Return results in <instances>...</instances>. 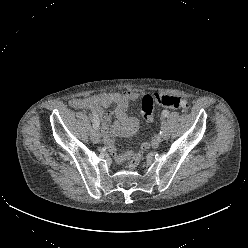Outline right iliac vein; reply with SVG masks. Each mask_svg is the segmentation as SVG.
Here are the masks:
<instances>
[{
	"instance_id": "obj_1",
	"label": "right iliac vein",
	"mask_w": 248,
	"mask_h": 248,
	"mask_svg": "<svg viewBox=\"0 0 248 248\" xmlns=\"http://www.w3.org/2000/svg\"><path fill=\"white\" fill-rule=\"evenodd\" d=\"M91 140L95 143L100 142V133L98 129H92L90 134Z\"/></svg>"
}]
</instances>
